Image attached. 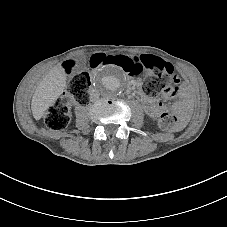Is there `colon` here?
<instances>
[{"mask_svg": "<svg viewBox=\"0 0 227 227\" xmlns=\"http://www.w3.org/2000/svg\"><path fill=\"white\" fill-rule=\"evenodd\" d=\"M104 64L114 65L129 76H138L143 72L149 73L144 81L143 90L148 95L161 92L175 94L179 88V80L174 75L173 67L163 59L149 54L129 56L120 53L93 55L90 59L92 67ZM74 64H65L68 74L72 73ZM90 78L87 73H74L71 75L64 95L49 107L44 116L46 126L52 130L65 128L70 121V108L72 103L84 105L88 101V88ZM180 123V118L169 113H162L156 121V126L162 130H174Z\"/></svg>", "mask_w": 227, "mask_h": 227, "instance_id": "obj_1", "label": "colon"}]
</instances>
